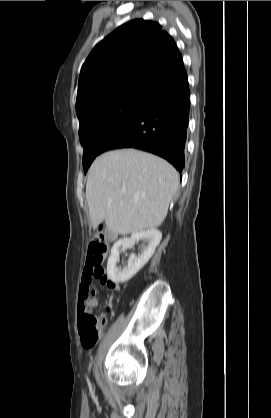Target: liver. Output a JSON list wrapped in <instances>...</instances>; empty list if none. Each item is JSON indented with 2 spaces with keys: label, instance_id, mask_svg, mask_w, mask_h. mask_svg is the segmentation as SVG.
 I'll list each match as a JSON object with an SVG mask.
<instances>
[{
  "label": "liver",
  "instance_id": "6515ba94",
  "mask_svg": "<svg viewBox=\"0 0 271 418\" xmlns=\"http://www.w3.org/2000/svg\"><path fill=\"white\" fill-rule=\"evenodd\" d=\"M179 186L176 169L162 158L135 149L106 152L90 166L86 199L93 228L127 235L164 221Z\"/></svg>",
  "mask_w": 271,
  "mask_h": 418
}]
</instances>
